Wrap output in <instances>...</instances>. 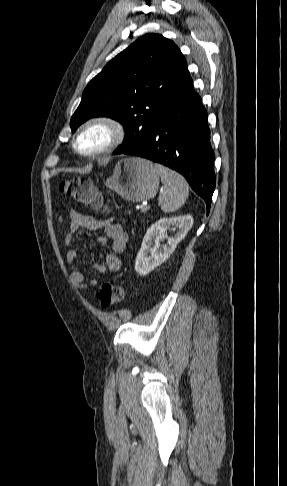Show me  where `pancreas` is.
Returning a JSON list of instances; mask_svg holds the SVG:
<instances>
[{
  "instance_id": "pancreas-1",
  "label": "pancreas",
  "mask_w": 287,
  "mask_h": 486,
  "mask_svg": "<svg viewBox=\"0 0 287 486\" xmlns=\"http://www.w3.org/2000/svg\"><path fill=\"white\" fill-rule=\"evenodd\" d=\"M141 212H146V210L145 209H141Z\"/></svg>"
}]
</instances>
